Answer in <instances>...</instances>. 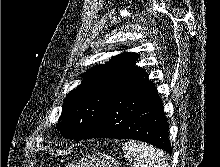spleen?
<instances>
[{"label": "spleen", "mask_w": 220, "mask_h": 167, "mask_svg": "<svg viewBox=\"0 0 220 167\" xmlns=\"http://www.w3.org/2000/svg\"><path fill=\"white\" fill-rule=\"evenodd\" d=\"M123 152L134 167H170L162 151L142 142L134 140L125 142Z\"/></svg>", "instance_id": "obj_1"}]
</instances>
